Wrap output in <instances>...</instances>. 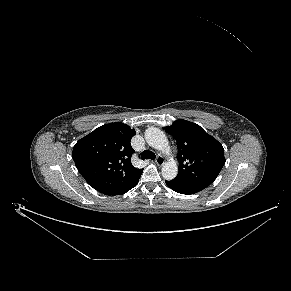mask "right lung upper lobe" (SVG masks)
Instances as JSON below:
<instances>
[{"instance_id": "cb5924a9", "label": "right lung upper lobe", "mask_w": 291, "mask_h": 291, "mask_svg": "<svg viewBox=\"0 0 291 291\" xmlns=\"http://www.w3.org/2000/svg\"><path fill=\"white\" fill-rule=\"evenodd\" d=\"M135 133L128 125L115 122L98 127L75 144L72 158L94 189L114 195L141 176L143 169L131 164L130 141Z\"/></svg>"}]
</instances>
